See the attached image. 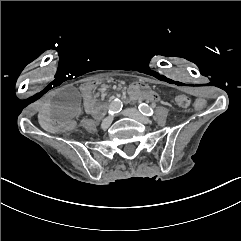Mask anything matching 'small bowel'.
I'll list each match as a JSON object with an SVG mask.
<instances>
[{"label": "small bowel", "mask_w": 241, "mask_h": 241, "mask_svg": "<svg viewBox=\"0 0 241 241\" xmlns=\"http://www.w3.org/2000/svg\"><path fill=\"white\" fill-rule=\"evenodd\" d=\"M98 85V83L96 82H90V83H86V84H83L81 86V91L83 93V96H84V102H85V107L87 109V111L91 114H97L98 113V106L96 105V102H95V99H94V96H93V93H94V90L96 88V86ZM127 92L129 94H141L144 98H146L147 100H154L156 98V90L152 87H150V85L148 83H145V82H142V81H139V82H132V83H129L127 85ZM40 117H41V120L43 122V124L47 127H55L56 129L58 130H65L68 128V123L67 122H63V121H58L56 122L55 120H51L49 118V115H48V112H47V104L46 103H41L40 104Z\"/></svg>", "instance_id": "small-bowel-1"}]
</instances>
